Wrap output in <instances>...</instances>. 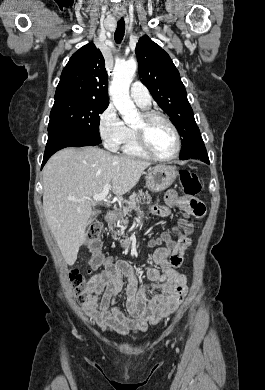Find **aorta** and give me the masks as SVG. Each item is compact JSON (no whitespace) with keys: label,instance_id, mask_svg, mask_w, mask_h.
Instances as JSON below:
<instances>
[{"label":"aorta","instance_id":"1","mask_svg":"<svg viewBox=\"0 0 265 390\" xmlns=\"http://www.w3.org/2000/svg\"><path fill=\"white\" fill-rule=\"evenodd\" d=\"M137 69L135 60L116 63L113 70V80L109 87L112 101L127 124L135 123L139 113L129 96V87Z\"/></svg>","mask_w":265,"mask_h":390}]
</instances>
